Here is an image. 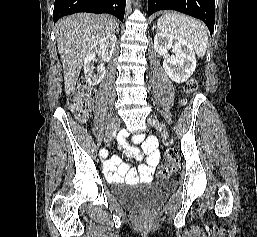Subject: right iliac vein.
I'll use <instances>...</instances> for the list:
<instances>
[{
  "mask_svg": "<svg viewBox=\"0 0 257 237\" xmlns=\"http://www.w3.org/2000/svg\"><path fill=\"white\" fill-rule=\"evenodd\" d=\"M118 127H119V118L115 117V118H113V120L107 130V133L105 136V143H109L111 141V139H112L113 135L116 133Z\"/></svg>",
  "mask_w": 257,
  "mask_h": 237,
  "instance_id": "1",
  "label": "right iliac vein"
}]
</instances>
